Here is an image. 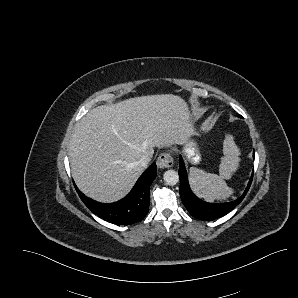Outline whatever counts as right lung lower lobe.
I'll list each match as a JSON object with an SVG mask.
<instances>
[{"label": "right lung lower lobe", "instance_id": "right-lung-lower-lobe-1", "mask_svg": "<svg viewBox=\"0 0 298 298\" xmlns=\"http://www.w3.org/2000/svg\"><path fill=\"white\" fill-rule=\"evenodd\" d=\"M156 163L150 165L140 176L131 192L122 200L104 204L86 197L75 186L79 197L89 210L100 218L118 225H128L141 221L149 211L150 185L156 178Z\"/></svg>", "mask_w": 298, "mask_h": 298}]
</instances>
